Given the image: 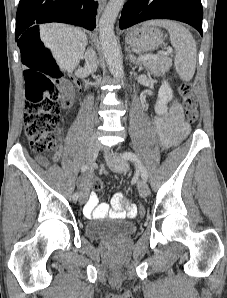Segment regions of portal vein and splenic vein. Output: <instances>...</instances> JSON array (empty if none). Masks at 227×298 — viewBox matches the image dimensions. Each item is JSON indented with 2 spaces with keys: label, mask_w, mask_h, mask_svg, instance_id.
<instances>
[{
  "label": "portal vein and splenic vein",
  "mask_w": 227,
  "mask_h": 298,
  "mask_svg": "<svg viewBox=\"0 0 227 298\" xmlns=\"http://www.w3.org/2000/svg\"><path fill=\"white\" fill-rule=\"evenodd\" d=\"M171 52H172V48L168 47L167 51L165 53H161V55L170 54ZM160 57H161L160 55H145V56H140L139 60L143 62V61H146V60H157Z\"/></svg>",
  "instance_id": "1"
}]
</instances>
